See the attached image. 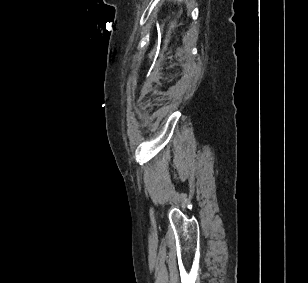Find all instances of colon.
<instances>
[{"mask_svg": "<svg viewBox=\"0 0 308 283\" xmlns=\"http://www.w3.org/2000/svg\"><path fill=\"white\" fill-rule=\"evenodd\" d=\"M157 49H158V45L156 43L155 46L153 47L151 53H150V58H153L156 55Z\"/></svg>", "mask_w": 308, "mask_h": 283, "instance_id": "colon-1", "label": "colon"}]
</instances>
